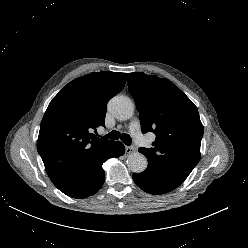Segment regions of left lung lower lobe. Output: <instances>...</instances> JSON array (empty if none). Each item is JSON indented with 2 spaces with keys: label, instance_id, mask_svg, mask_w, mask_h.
I'll use <instances>...</instances> for the list:
<instances>
[{
  "label": "left lung lower lobe",
  "instance_id": "1",
  "mask_svg": "<svg viewBox=\"0 0 248 248\" xmlns=\"http://www.w3.org/2000/svg\"><path fill=\"white\" fill-rule=\"evenodd\" d=\"M133 179L143 191L154 195L168 193L178 187L164 177L159 170L152 168H147L142 173H134Z\"/></svg>",
  "mask_w": 248,
  "mask_h": 248
}]
</instances>
